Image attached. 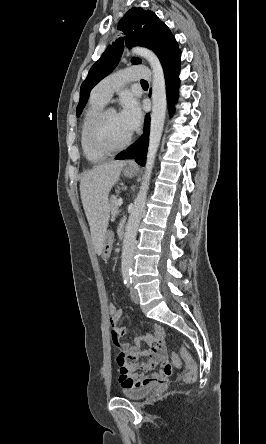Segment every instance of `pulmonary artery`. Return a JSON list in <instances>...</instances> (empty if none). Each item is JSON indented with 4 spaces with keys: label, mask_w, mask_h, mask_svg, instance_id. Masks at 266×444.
Returning <instances> with one entry per match:
<instances>
[{
    "label": "pulmonary artery",
    "mask_w": 266,
    "mask_h": 444,
    "mask_svg": "<svg viewBox=\"0 0 266 444\" xmlns=\"http://www.w3.org/2000/svg\"><path fill=\"white\" fill-rule=\"evenodd\" d=\"M150 71L147 66H130L120 69L104 78L94 89L93 95L108 102L113 93L126 83L139 79H148Z\"/></svg>",
    "instance_id": "1"
}]
</instances>
